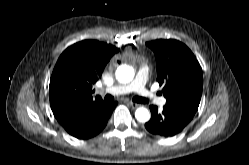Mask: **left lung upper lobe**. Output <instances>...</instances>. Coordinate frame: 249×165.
<instances>
[{
  "instance_id": "obj_1",
  "label": "left lung upper lobe",
  "mask_w": 249,
  "mask_h": 165,
  "mask_svg": "<svg viewBox=\"0 0 249 165\" xmlns=\"http://www.w3.org/2000/svg\"><path fill=\"white\" fill-rule=\"evenodd\" d=\"M156 57L157 79L164 85L166 105L195 115L203 86L202 69L191 50L177 40L147 42Z\"/></svg>"
}]
</instances>
